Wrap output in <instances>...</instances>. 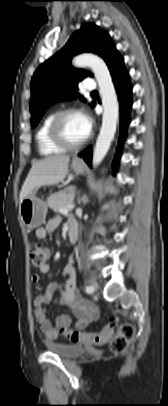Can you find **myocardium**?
<instances>
[{"label":"myocardium","mask_w":168,"mask_h":406,"mask_svg":"<svg viewBox=\"0 0 168 406\" xmlns=\"http://www.w3.org/2000/svg\"><path fill=\"white\" fill-rule=\"evenodd\" d=\"M75 113L79 114L80 112L76 108H66L54 115L49 125V138L55 145L64 149H76L83 146L87 142L89 136L78 142H70L64 137L62 133L63 120L68 115Z\"/></svg>","instance_id":"myocardium-1"}]
</instances>
